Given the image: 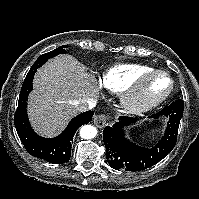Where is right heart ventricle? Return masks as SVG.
Here are the masks:
<instances>
[{
    "instance_id": "obj_1",
    "label": "right heart ventricle",
    "mask_w": 199,
    "mask_h": 199,
    "mask_svg": "<svg viewBox=\"0 0 199 199\" xmlns=\"http://www.w3.org/2000/svg\"><path fill=\"white\" fill-rule=\"evenodd\" d=\"M153 70L143 64H118L104 72L101 83L112 92H123L129 90L142 75Z\"/></svg>"
}]
</instances>
